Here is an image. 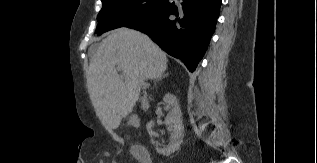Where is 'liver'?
<instances>
[{
	"instance_id": "obj_1",
	"label": "liver",
	"mask_w": 317,
	"mask_h": 163,
	"mask_svg": "<svg viewBox=\"0 0 317 163\" xmlns=\"http://www.w3.org/2000/svg\"><path fill=\"white\" fill-rule=\"evenodd\" d=\"M167 63L166 54L139 31L119 28L102 40L90 60L87 88L107 130L119 127L138 101L145 79L162 76Z\"/></svg>"
}]
</instances>
